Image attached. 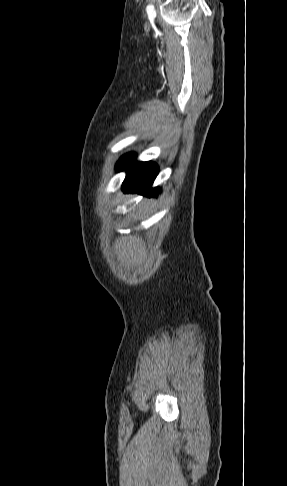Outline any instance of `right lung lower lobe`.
I'll list each match as a JSON object with an SVG mask.
<instances>
[{
	"instance_id": "98d812e1",
	"label": "right lung lower lobe",
	"mask_w": 287,
	"mask_h": 486,
	"mask_svg": "<svg viewBox=\"0 0 287 486\" xmlns=\"http://www.w3.org/2000/svg\"><path fill=\"white\" fill-rule=\"evenodd\" d=\"M135 154L123 156L116 169L118 171L126 170L127 175L122 185L124 192L145 193L147 196L157 197L160 192L159 188H151L154 179L158 174V166L153 162H136Z\"/></svg>"
}]
</instances>
